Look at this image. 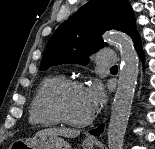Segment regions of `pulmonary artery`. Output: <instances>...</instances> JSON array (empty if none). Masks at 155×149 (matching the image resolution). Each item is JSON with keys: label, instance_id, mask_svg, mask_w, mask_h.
I'll use <instances>...</instances> for the list:
<instances>
[{"label": "pulmonary artery", "instance_id": "1", "mask_svg": "<svg viewBox=\"0 0 155 149\" xmlns=\"http://www.w3.org/2000/svg\"><path fill=\"white\" fill-rule=\"evenodd\" d=\"M117 62V55L110 49H102L98 52L97 63L100 66L115 65Z\"/></svg>", "mask_w": 155, "mask_h": 149}]
</instances>
